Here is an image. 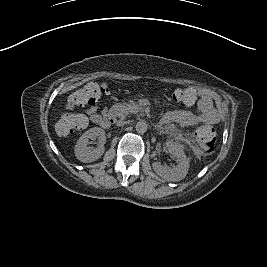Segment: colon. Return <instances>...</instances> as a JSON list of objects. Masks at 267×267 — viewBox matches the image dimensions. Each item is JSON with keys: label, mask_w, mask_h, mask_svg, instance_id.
<instances>
[{"label": "colon", "mask_w": 267, "mask_h": 267, "mask_svg": "<svg viewBox=\"0 0 267 267\" xmlns=\"http://www.w3.org/2000/svg\"><path fill=\"white\" fill-rule=\"evenodd\" d=\"M107 85L89 83L80 89L73 97V101L79 105H96L108 93ZM176 102L188 105L190 93L187 88L176 89L174 91ZM88 124V119L81 114H65L56 125L57 134L61 137H67L76 129H84ZM196 142L201 155L212 153L217 146L216 131L213 126L206 125L199 129L196 134Z\"/></svg>", "instance_id": "1"}]
</instances>
